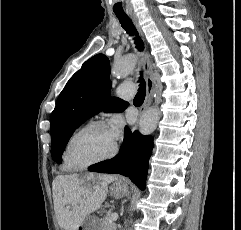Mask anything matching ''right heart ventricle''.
Segmentation results:
<instances>
[{"label":"right heart ventricle","mask_w":241,"mask_h":230,"mask_svg":"<svg viewBox=\"0 0 241 230\" xmlns=\"http://www.w3.org/2000/svg\"><path fill=\"white\" fill-rule=\"evenodd\" d=\"M63 169H64L65 171L71 170V168L69 167V165L67 164V162H66L65 159H64V153H63Z\"/></svg>","instance_id":"right-heart-ventricle-1"}]
</instances>
